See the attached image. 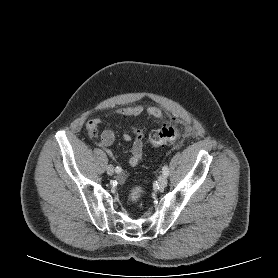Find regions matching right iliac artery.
I'll list each match as a JSON object with an SVG mask.
<instances>
[{
  "mask_svg": "<svg viewBox=\"0 0 278 278\" xmlns=\"http://www.w3.org/2000/svg\"><path fill=\"white\" fill-rule=\"evenodd\" d=\"M121 170H122L121 167H116V168H115L116 173H120Z\"/></svg>",
  "mask_w": 278,
  "mask_h": 278,
  "instance_id": "right-iliac-artery-1",
  "label": "right iliac artery"
}]
</instances>
